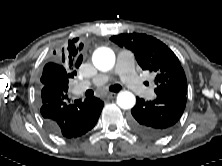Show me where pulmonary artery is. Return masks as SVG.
<instances>
[{
	"label": "pulmonary artery",
	"mask_w": 222,
	"mask_h": 166,
	"mask_svg": "<svg viewBox=\"0 0 222 166\" xmlns=\"http://www.w3.org/2000/svg\"><path fill=\"white\" fill-rule=\"evenodd\" d=\"M114 72L120 76L122 82L133 92L141 93L145 96H149L151 94L152 90L146 87L137 75L134 67V56L130 52L122 51L119 53ZM110 79L111 76L109 74H99L89 83L78 84L76 86V93H82L90 84L96 86L104 85Z\"/></svg>",
	"instance_id": "pulmonary-artery-1"
}]
</instances>
